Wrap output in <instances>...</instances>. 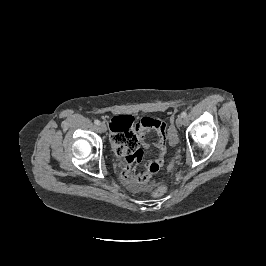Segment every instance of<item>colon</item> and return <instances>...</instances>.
<instances>
[{"mask_svg": "<svg viewBox=\"0 0 266 266\" xmlns=\"http://www.w3.org/2000/svg\"><path fill=\"white\" fill-rule=\"evenodd\" d=\"M172 141L175 142V136H172ZM167 188L164 185H157L151 192L153 197H162L165 195Z\"/></svg>", "mask_w": 266, "mask_h": 266, "instance_id": "5ec220e1", "label": "colon"}]
</instances>
